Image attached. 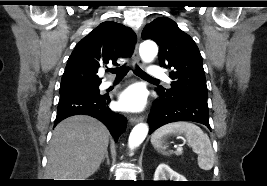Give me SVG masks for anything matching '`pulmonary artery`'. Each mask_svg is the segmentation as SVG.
I'll return each instance as SVG.
<instances>
[{"label":"pulmonary artery","mask_w":267,"mask_h":186,"mask_svg":"<svg viewBox=\"0 0 267 186\" xmlns=\"http://www.w3.org/2000/svg\"><path fill=\"white\" fill-rule=\"evenodd\" d=\"M149 74L151 76H154V77H160V78H166V75L164 73V70L160 67V66H157V65H154V66H151L148 70ZM113 84L112 81L110 80H105L102 82L101 84V88L105 89V88H108L109 86H111Z\"/></svg>","instance_id":"pulmonary-artery-1"}]
</instances>
